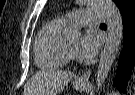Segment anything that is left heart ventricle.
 <instances>
[{"label": "left heart ventricle", "mask_w": 135, "mask_h": 95, "mask_svg": "<svg viewBox=\"0 0 135 95\" xmlns=\"http://www.w3.org/2000/svg\"><path fill=\"white\" fill-rule=\"evenodd\" d=\"M74 28H75V29H80V30L83 29V27H74ZM66 45H67L68 49H69L73 54H75V51H76V48H77V45H78V39L68 41V42H66Z\"/></svg>", "instance_id": "b2bd125f"}]
</instances>
